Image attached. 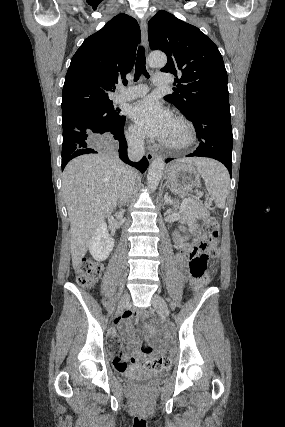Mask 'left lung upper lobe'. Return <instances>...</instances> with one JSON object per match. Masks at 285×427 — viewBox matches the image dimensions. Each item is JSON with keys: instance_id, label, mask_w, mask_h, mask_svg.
Masks as SVG:
<instances>
[{"instance_id": "1", "label": "left lung upper lobe", "mask_w": 285, "mask_h": 427, "mask_svg": "<svg viewBox=\"0 0 285 427\" xmlns=\"http://www.w3.org/2000/svg\"><path fill=\"white\" fill-rule=\"evenodd\" d=\"M148 26L150 48L168 57L161 71L172 73L178 82L176 93L166 95L165 100L187 118L202 108L230 112L227 72L213 41L197 27L163 10L152 17Z\"/></svg>"}]
</instances>
